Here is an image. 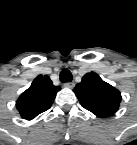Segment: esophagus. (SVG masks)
<instances>
[{"mask_svg":"<svg viewBox=\"0 0 137 145\" xmlns=\"http://www.w3.org/2000/svg\"><path fill=\"white\" fill-rule=\"evenodd\" d=\"M75 86L74 82H66L64 83V87L66 88H73Z\"/></svg>","mask_w":137,"mask_h":145,"instance_id":"esophagus-1","label":"esophagus"}]
</instances>
